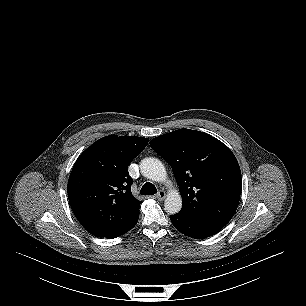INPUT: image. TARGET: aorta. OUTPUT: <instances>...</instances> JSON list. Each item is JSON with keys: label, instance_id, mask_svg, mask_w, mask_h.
Returning a JSON list of instances; mask_svg holds the SVG:
<instances>
[{"label": "aorta", "instance_id": "762f6f07", "mask_svg": "<svg viewBox=\"0 0 306 306\" xmlns=\"http://www.w3.org/2000/svg\"><path fill=\"white\" fill-rule=\"evenodd\" d=\"M140 171L144 177L156 182H164L167 172L160 160L157 158H145L140 163ZM165 210L168 214H176L182 208V198L178 191L172 190L168 193L165 202Z\"/></svg>", "mask_w": 306, "mask_h": 306}]
</instances>
